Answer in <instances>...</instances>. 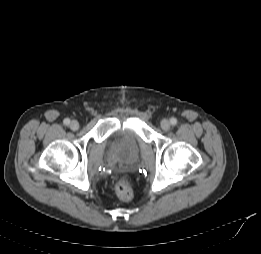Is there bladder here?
<instances>
[{
	"instance_id": "1",
	"label": "bladder",
	"mask_w": 261,
	"mask_h": 254,
	"mask_svg": "<svg viewBox=\"0 0 261 254\" xmlns=\"http://www.w3.org/2000/svg\"><path fill=\"white\" fill-rule=\"evenodd\" d=\"M111 158L115 164H131L139 154V145L136 136L131 132H125L118 136L110 150Z\"/></svg>"
}]
</instances>
